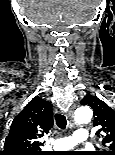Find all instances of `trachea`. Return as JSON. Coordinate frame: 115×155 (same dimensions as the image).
I'll return each mask as SVG.
<instances>
[{
    "label": "trachea",
    "mask_w": 115,
    "mask_h": 155,
    "mask_svg": "<svg viewBox=\"0 0 115 155\" xmlns=\"http://www.w3.org/2000/svg\"><path fill=\"white\" fill-rule=\"evenodd\" d=\"M55 121L57 126L62 129L65 130L66 129V125H67V120L65 118V116L61 113H56L55 114Z\"/></svg>",
    "instance_id": "1"
}]
</instances>
